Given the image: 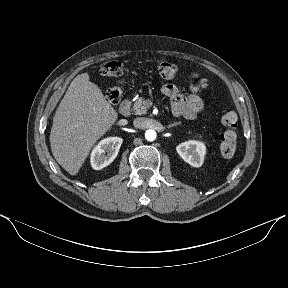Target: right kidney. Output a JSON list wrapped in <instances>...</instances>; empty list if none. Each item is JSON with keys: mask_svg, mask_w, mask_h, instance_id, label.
I'll return each instance as SVG.
<instances>
[{"mask_svg": "<svg viewBox=\"0 0 288 288\" xmlns=\"http://www.w3.org/2000/svg\"><path fill=\"white\" fill-rule=\"evenodd\" d=\"M121 144L122 139L119 137H109L100 141L91 153L90 161L93 169L101 170L112 163L119 152Z\"/></svg>", "mask_w": 288, "mask_h": 288, "instance_id": "obj_1", "label": "right kidney"}]
</instances>
